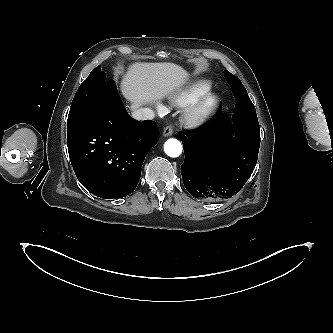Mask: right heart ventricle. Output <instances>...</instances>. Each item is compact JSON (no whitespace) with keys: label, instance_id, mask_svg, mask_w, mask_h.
I'll list each match as a JSON object with an SVG mask.
<instances>
[{"label":"right heart ventricle","instance_id":"right-heart-ventricle-1","mask_svg":"<svg viewBox=\"0 0 333 333\" xmlns=\"http://www.w3.org/2000/svg\"><path fill=\"white\" fill-rule=\"evenodd\" d=\"M211 82L205 80H198L195 81L184 89L179 91L173 98V103L176 106L184 107L191 105L194 103L198 98H200L205 93L209 92L211 89Z\"/></svg>","mask_w":333,"mask_h":333}]
</instances>
